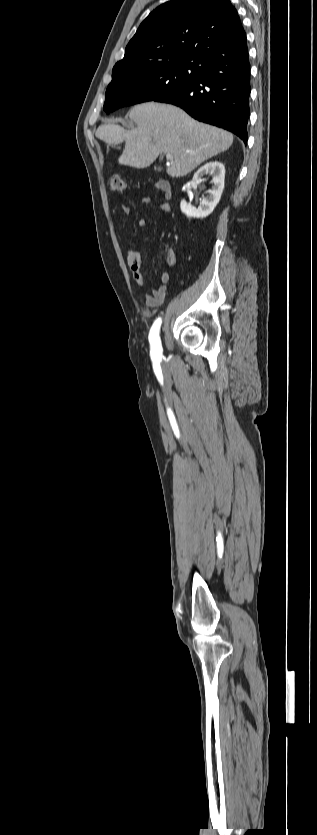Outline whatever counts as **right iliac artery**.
Returning a JSON list of instances; mask_svg holds the SVG:
<instances>
[{"label": "right iliac artery", "instance_id": "obj_1", "mask_svg": "<svg viewBox=\"0 0 317 835\" xmlns=\"http://www.w3.org/2000/svg\"><path fill=\"white\" fill-rule=\"evenodd\" d=\"M161 322H162V320H161L160 317L158 319H156V321L152 325V327L150 329V333H149V342H150V346H151L150 353H151V358L153 360H159L162 356V346H161V341H160V337H159Z\"/></svg>", "mask_w": 317, "mask_h": 835}]
</instances>
